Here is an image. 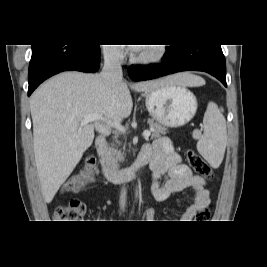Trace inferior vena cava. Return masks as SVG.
Instances as JSON below:
<instances>
[{
	"instance_id": "1",
	"label": "inferior vena cava",
	"mask_w": 267,
	"mask_h": 267,
	"mask_svg": "<svg viewBox=\"0 0 267 267\" xmlns=\"http://www.w3.org/2000/svg\"><path fill=\"white\" fill-rule=\"evenodd\" d=\"M101 77L107 82L122 80V67L120 63V51L118 48H107L104 51V66ZM126 204V189L123 188L120 195V206L124 208Z\"/></svg>"
}]
</instances>
